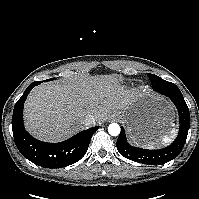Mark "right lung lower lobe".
I'll use <instances>...</instances> for the list:
<instances>
[{
    "label": "right lung lower lobe",
    "mask_w": 199,
    "mask_h": 199,
    "mask_svg": "<svg viewBox=\"0 0 199 199\" xmlns=\"http://www.w3.org/2000/svg\"><path fill=\"white\" fill-rule=\"evenodd\" d=\"M35 86L31 83L14 107L12 130L17 148L25 158L45 168H61L79 161L86 153L91 137L99 126L84 130L60 143L36 140L25 131L23 125L24 102Z\"/></svg>",
    "instance_id": "1"
}]
</instances>
